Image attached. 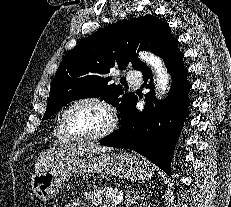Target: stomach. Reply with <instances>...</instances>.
<instances>
[{
    "label": "stomach",
    "mask_w": 231,
    "mask_h": 207,
    "mask_svg": "<svg viewBox=\"0 0 231 207\" xmlns=\"http://www.w3.org/2000/svg\"><path fill=\"white\" fill-rule=\"evenodd\" d=\"M109 174L130 180H140L150 176L149 164L138 156L120 152L116 154L68 155L58 159L51 167L38 170L31 179L33 193L42 201H47L65 188V181L72 175Z\"/></svg>",
    "instance_id": "1"
}]
</instances>
